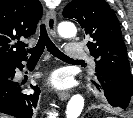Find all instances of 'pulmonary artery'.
<instances>
[{
    "instance_id": "1",
    "label": "pulmonary artery",
    "mask_w": 133,
    "mask_h": 118,
    "mask_svg": "<svg viewBox=\"0 0 133 118\" xmlns=\"http://www.w3.org/2000/svg\"><path fill=\"white\" fill-rule=\"evenodd\" d=\"M66 56L72 59H84L87 57L82 47L78 44L70 43L65 48Z\"/></svg>"
}]
</instances>
